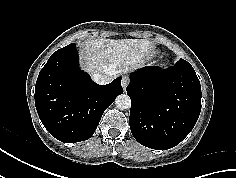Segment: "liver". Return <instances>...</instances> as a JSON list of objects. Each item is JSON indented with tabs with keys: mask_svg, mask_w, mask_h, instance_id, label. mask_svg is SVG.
Returning <instances> with one entry per match:
<instances>
[{
	"mask_svg": "<svg viewBox=\"0 0 236 178\" xmlns=\"http://www.w3.org/2000/svg\"><path fill=\"white\" fill-rule=\"evenodd\" d=\"M151 43L145 39H94L83 44L82 67L89 74H109L113 78L141 67Z\"/></svg>",
	"mask_w": 236,
	"mask_h": 178,
	"instance_id": "liver-1",
	"label": "liver"
}]
</instances>
